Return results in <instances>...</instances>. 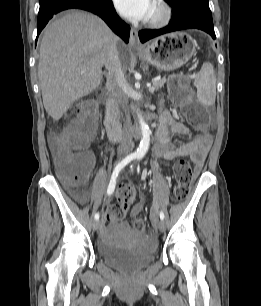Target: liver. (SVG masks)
Listing matches in <instances>:
<instances>
[{"label":"liver","instance_id":"1","mask_svg":"<svg viewBox=\"0 0 261 306\" xmlns=\"http://www.w3.org/2000/svg\"><path fill=\"white\" fill-rule=\"evenodd\" d=\"M118 37L96 15L74 11L51 22L42 37L39 84L46 112L58 121L102 82V67Z\"/></svg>","mask_w":261,"mask_h":306}]
</instances>
